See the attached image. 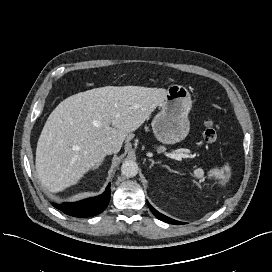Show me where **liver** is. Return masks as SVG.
I'll return each mask as SVG.
<instances>
[{"instance_id": "liver-1", "label": "liver", "mask_w": 272, "mask_h": 272, "mask_svg": "<svg viewBox=\"0 0 272 272\" xmlns=\"http://www.w3.org/2000/svg\"><path fill=\"white\" fill-rule=\"evenodd\" d=\"M167 90L106 86L63 100L49 115L36 149V172L51 192L76 184L106 154L104 143L118 151L163 101Z\"/></svg>"}]
</instances>
